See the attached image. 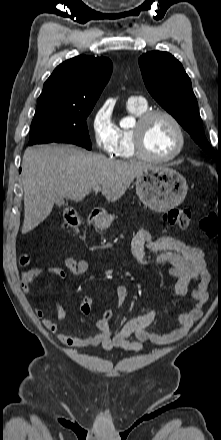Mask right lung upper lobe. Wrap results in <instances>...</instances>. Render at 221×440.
<instances>
[{"mask_svg":"<svg viewBox=\"0 0 221 440\" xmlns=\"http://www.w3.org/2000/svg\"><path fill=\"white\" fill-rule=\"evenodd\" d=\"M112 73L105 57L80 55L60 64L44 83L37 103L56 101L73 106H93Z\"/></svg>","mask_w":221,"mask_h":440,"instance_id":"obj_1","label":"right lung upper lobe"}]
</instances>
